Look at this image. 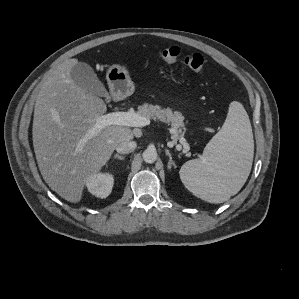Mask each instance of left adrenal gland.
Segmentation results:
<instances>
[{"instance_id": "obj_1", "label": "left adrenal gland", "mask_w": 299, "mask_h": 299, "mask_svg": "<svg viewBox=\"0 0 299 299\" xmlns=\"http://www.w3.org/2000/svg\"><path fill=\"white\" fill-rule=\"evenodd\" d=\"M166 155L169 157V162H168V169L170 170L171 167L173 166L174 168H176L175 162L172 159L171 153L169 152L168 149L165 150Z\"/></svg>"}]
</instances>
